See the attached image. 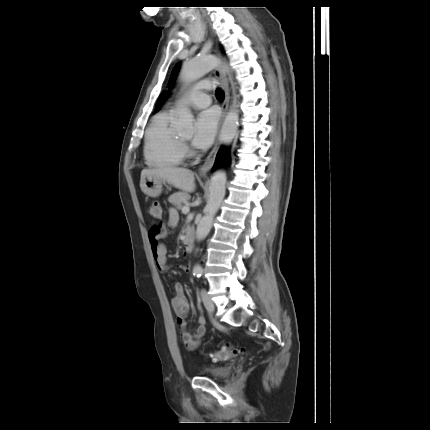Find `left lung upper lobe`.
Masks as SVG:
<instances>
[{
    "label": "left lung upper lobe",
    "mask_w": 430,
    "mask_h": 430,
    "mask_svg": "<svg viewBox=\"0 0 430 430\" xmlns=\"http://www.w3.org/2000/svg\"><path fill=\"white\" fill-rule=\"evenodd\" d=\"M179 68H180V65L177 64L175 66V68L173 69V71H172V74H171V77H170V81H169V87L170 88L172 87V85L174 83V80H175V77H176V75L178 73ZM167 97H168V94H163V95H161L159 97L155 112H157L159 110L160 105L167 99Z\"/></svg>",
    "instance_id": "1"
}]
</instances>
